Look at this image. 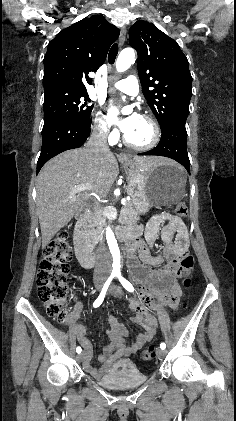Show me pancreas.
<instances>
[{"label": "pancreas", "instance_id": "1", "mask_svg": "<svg viewBox=\"0 0 236 421\" xmlns=\"http://www.w3.org/2000/svg\"><path fill=\"white\" fill-rule=\"evenodd\" d=\"M106 211H103L102 206L94 204L91 211L86 213L84 219H82L80 225L82 227V233L85 235L87 241L92 243L93 247L97 245L98 241L102 239L104 233V227L106 223ZM139 213L135 211L132 200H126V204L121 206L120 217L118 219L120 225H127V227H133L137 225L139 221Z\"/></svg>", "mask_w": 236, "mask_h": 421}]
</instances>
